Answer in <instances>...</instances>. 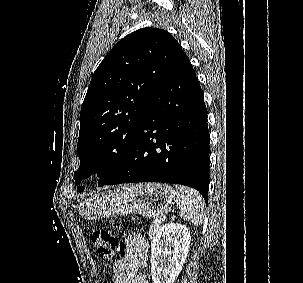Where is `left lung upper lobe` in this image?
<instances>
[{"label":"left lung upper lobe","instance_id":"left-lung-upper-lobe-1","mask_svg":"<svg viewBox=\"0 0 303 283\" xmlns=\"http://www.w3.org/2000/svg\"><path fill=\"white\" fill-rule=\"evenodd\" d=\"M181 51L170 33L157 28L136 30L110 50L82 104L75 185L96 172L102 186L119 171L153 96ZM77 190L82 192L84 186Z\"/></svg>","mask_w":303,"mask_h":283}]
</instances>
